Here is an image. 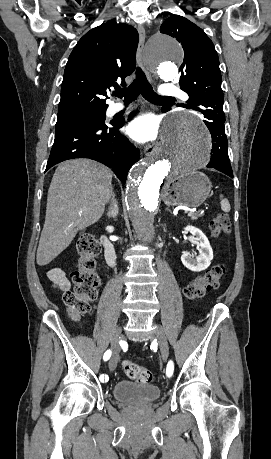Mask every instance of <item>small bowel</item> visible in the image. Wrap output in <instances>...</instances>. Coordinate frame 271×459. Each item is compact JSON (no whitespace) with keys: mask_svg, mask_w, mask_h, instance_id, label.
<instances>
[{"mask_svg":"<svg viewBox=\"0 0 271 459\" xmlns=\"http://www.w3.org/2000/svg\"><path fill=\"white\" fill-rule=\"evenodd\" d=\"M47 276L56 288L62 291H68L70 289L71 283L63 270L53 268L47 272Z\"/></svg>","mask_w":271,"mask_h":459,"instance_id":"c3829d8e","label":"small bowel"}]
</instances>
